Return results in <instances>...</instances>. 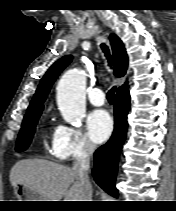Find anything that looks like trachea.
Returning <instances> with one entry per match:
<instances>
[{
	"instance_id": "3493384b",
	"label": "trachea",
	"mask_w": 176,
	"mask_h": 211,
	"mask_svg": "<svg viewBox=\"0 0 176 211\" xmlns=\"http://www.w3.org/2000/svg\"><path fill=\"white\" fill-rule=\"evenodd\" d=\"M101 48H102L103 52L105 53V56L108 59V64L110 66L111 65V56H110L109 49L105 44H101ZM115 90H116V87L114 86L107 93V99L110 103L113 102Z\"/></svg>"
}]
</instances>
